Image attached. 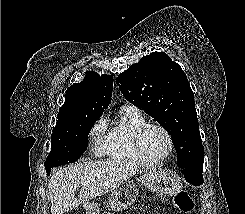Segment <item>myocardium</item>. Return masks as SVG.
I'll return each instance as SVG.
<instances>
[{
	"mask_svg": "<svg viewBox=\"0 0 245 214\" xmlns=\"http://www.w3.org/2000/svg\"><path fill=\"white\" fill-rule=\"evenodd\" d=\"M155 128L160 130L167 138L168 141V151L167 153L159 159L152 160L149 159L143 149V138L146 134V132L151 129ZM133 144H134V149L138 157L141 159V161L149 166H157L160 164H163L165 161H167L173 154L174 152V140L171 135V133L162 125L157 124V123H145L142 126H140L134 133L133 137Z\"/></svg>",
	"mask_w": 245,
	"mask_h": 214,
	"instance_id": "myocardium-1",
	"label": "myocardium"
}]
</instances>
